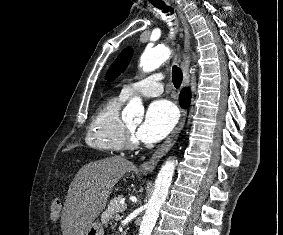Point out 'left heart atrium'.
<instances>
[{"instance_id":"39dd6f15","label":"left heart atrium","mask_w":283,"mask_h":235,"mask_svg":"<svg viewBox=\"0 0 283 235\" xmlns=\"http://www.w3.org/2000/svg\"><path fill=\"white\" fill-rule=\"evenodd\" d=\"M177 118L176 108L171 102L154 101L148 107L142 125L136 130V136L148 143L159 141L173 129Z\"/></svg>"}]
</instances>
